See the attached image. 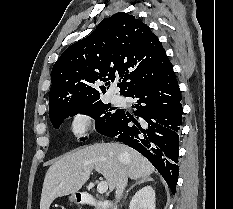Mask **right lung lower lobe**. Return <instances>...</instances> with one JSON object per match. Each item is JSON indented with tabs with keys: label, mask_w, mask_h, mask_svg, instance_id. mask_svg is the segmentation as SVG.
<instances>
[{
	"label": "right lung lower lobe",
	"mask_w": 233,
	"mask_h": 209,
	"mask_svg": "<svg viewBox=\"0 0 233 209\" xmlns=\"http://www.w3.org/2000/svg\"><path fill=\"white\" fill-rule=\"evenodd\" d=\"M127 97L137 118L120 111L102 134L143 154L163 176L173 194L179 174V131L182 125L181 92L172 65L154 82Z\"/></svg>",
	"instance_id": "1"
}]
</instances>
